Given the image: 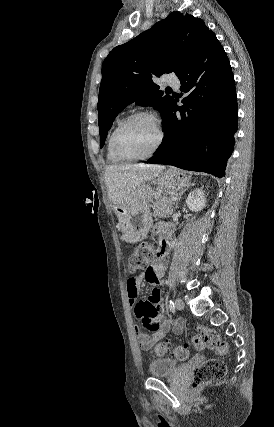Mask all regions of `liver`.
Instances as JSON below:
<instances>
[{
  "label": "liver",
  "mask_w": 274,
  "mask_h": 427,
  "mask_svg": "<svg viewBox=\"0 0 274 427\" xmlns=\"http://www.w3.org/2000/svg\"><path fill=\"white\" fill-rule=\"evenodd\" d=\"M165 170V166H139V164H126V166H108L104 178L108 198L115 206L128 204L134 198V190L143 182L155 180L157 174Z\"/></svg>",
  "instance_id": "obj_1"
}]
</instances>
